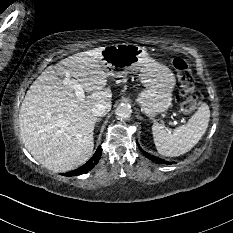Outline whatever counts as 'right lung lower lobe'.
Instances as JSON below:
<instances>
[{"mask_svg": "<svg viewBox=\"0 0 233 233\" xmlns=\"http://www.w3.org/2000/svg\"><path fill=\"white\" fill-rule=\"evenodd\" d=\"M101 154H102V148L101 146L98 147L97 151L95 152V154L92 156V158L83 166H81L80 168L70 171L68 173H64V176H76V175H80L83 174L89 170H91L100 160L101 158Z\"/></svg>", "mask_w": 233, "mask_h": 233, "instance_id": "right-lung-lower-lobe-1", "label": "right lung lower lobe"}]
</instances>
